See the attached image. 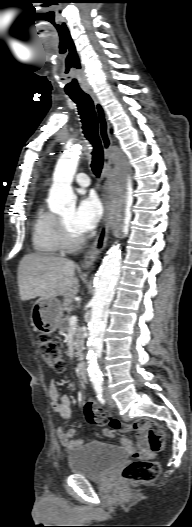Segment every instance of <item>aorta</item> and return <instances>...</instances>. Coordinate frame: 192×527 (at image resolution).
<instances>
[{"instance_id": "762f6f07", "label": "aorta", "mask_w": 192, "mask_h": 527, "mask_svg": "<svg viewBox=\"0 0 192 527\" xmlns=\"http://www.w3.org/2000/svg\"><path fill=\"white\" fill-rule=\"evenodd\" d=\"M81 154L79 146L67 149L58 159L50 189L49 207L53 212L62 213L75 207V196L71 187ZM130 167L122 163L116 182L118 203L126 204L130 198ZM121 251L119 245L112 246L97 272L95 293L92 299L91 318L88 323L86 359L90 381L102 382L98 365L103 348V335L107 324L108 307L115 294V284L119 277Z\"/></svg>"}]
</instances>
